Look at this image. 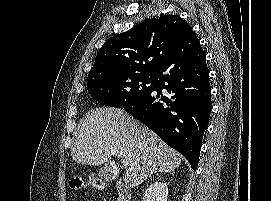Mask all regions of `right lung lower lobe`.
Instances as JSON below:
<instances>
[{
	"instance_id": "1",
	"label": "right lung lower lobe",
	"mask_w": 271,
	"mask_h": 201,
	"mask_svg": "<svg viewBox=\"0 0 271 201\" xmlns=\"http://www.w3.org/2000/svg\"><path fill=\"white\" fill-rule=\"evenodd\" d=\"M197 39L187 35L154 74L153 87L122 105L179 151L194 170L212 110L209 70Z\"/></svg>"
}]
</instances>
